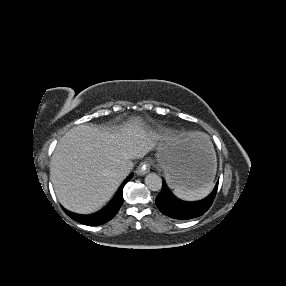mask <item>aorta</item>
Instances as JSON below:
<instances>
[{"label": "aorta", "mask_w": 286, "mask_h": 286, "mask_svg": "<svg viewBox=\"0 0 286 286\" xmlns=\"http://www.w3.org/2000/svg\"><path fill=\"white\" fill-rule=\"evenodd\" d=\"M145 184L151 191H159L162 188V179L155 173H150L145 177Z\"/></svg>", "instance_id": "1"}]
</instances>
